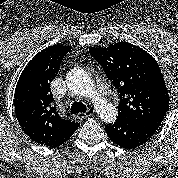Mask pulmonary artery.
Segmentation results:
<instances>
[{"label":"pulmonary artery","mask_w":178,"mask_h":178,"mask_svg":"<svg viewBox=\"0 0 178 178\" xmlns=\"http://www.w3.org/2000/svg\"><path fill=\"white\" fill-rule=\"evenodd\" d=\"M97 89H98V91L103 90V85L99 82L97 83Z\"/></svg>","instance_id":"e3ab8cb5"}]
</instances>
